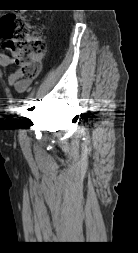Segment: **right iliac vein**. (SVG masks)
I'll list each match as a JSON object with an SVG mask.
<instances>
[{"label": "right iliac vein", "mask_w": 138, "mask_h": 253, "mask_svg": "<svg viewBox=\"0 0 138 253\" xmlns=\"http://www.w3.org/2000/svg\"><path fill=\"white\" fill-rule=\"evenodd\" d=\"M30 111H27L26 115H25V119H24V124L22 125V129H21V134L20 135V139L22 140V142H24L25 139V134L28 132L29 129V120H30Z\"/></svg>", "instance_id": "obj_1"}]
</instances>
